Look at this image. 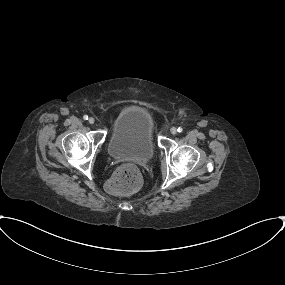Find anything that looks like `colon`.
I'll return each instance as SVG.
<instances>
[{"label":"colon","instance_id":"1","mask_svg":"<svg viewBox=\"0 0 285 285\" xmlns=\"http://www.w3.org/2000/svg\"><path fill=\"white\" fill-rule=\"evenodd\" d=\"M142 176L134 166L117 169L107 182V190L114 194H132L139 190Z\"/></svg>","mask_w":285,"mask_h":285}]
</instances>
